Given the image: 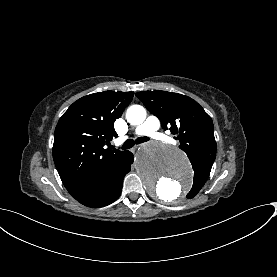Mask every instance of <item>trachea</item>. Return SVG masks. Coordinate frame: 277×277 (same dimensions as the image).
<instances>
[{"mask_svg":"<svg viewBox=\"0 0 277 277\" xmlns=\"http://www.w3.org/2000/svg\"><path fill=\"white\" fill-rule=\"evenodd\" d=\"M150 138L148 137H138L135 141L132 139H128L127 141H125V143L120 147L121 149H130L132 148L135 144H140L146 141H149Z\"/></svg>","mask_w":277,"mask_h":277,"instance_id":"obj_1","label":"trachea"}]
</instances>
